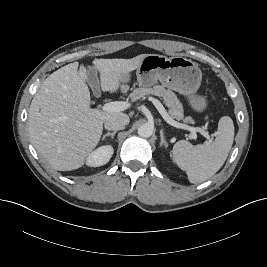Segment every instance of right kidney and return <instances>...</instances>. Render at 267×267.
<instances>
[{"label":"right kidney","mask_w":267,"mask_h":267,"mask_svg":"<svg viewBox=\"0 0 267 267\" xmlns=\"http://www.w3.org/2000/svg\"><path fill=\"white\" fill-rule=\"evenodd\" d=\"M113 155V147L111 145L101 146L92 151L86 159V164L91 167H99L107 162Z\"/></svg>","instance_id":"right-kidney-1"}]
</instances>
